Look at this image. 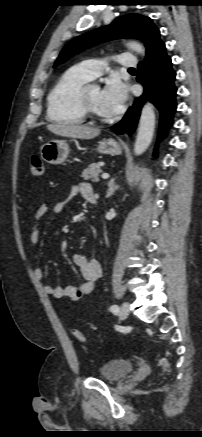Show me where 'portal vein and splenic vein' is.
<instances>
[{
    "label": "portal vein and splenic vein",
    "mask_w": 202,
    "mask_h": 437,
    "mask_svg": "<svg viewBox=\"0 0 202 437\" xmlns=\"http://www.w3.org/2000/svg\"><path fill=\"white\" fill-rule=\"evenodd\" d=\"M102 178L103 179H108L109 178V174L108 173H103L102 174Z\"/></svg>",
    "instance_id": "18ae733b"
}]
</instances>
